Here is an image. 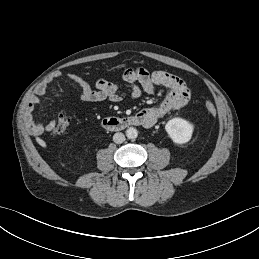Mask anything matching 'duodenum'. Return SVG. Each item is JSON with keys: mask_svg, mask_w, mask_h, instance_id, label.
Wrapping results in <instances>:
<instances>
[{"mask_svg": "<svg viewBox=\"0 0 259 259\" xmlns=\"http://www.w3.org/2000/svg\"><path fill=\"white\" fill-rule=\"evenodd\" d=\"M146 121L138 114L128 117H107L102 121V127L118 131L131 126H145Z\"/></svg>", "mask_w": 259, "mask_h": 259, "instance_id": "410a0bca", "label": "duodenum"}]
</instances>
